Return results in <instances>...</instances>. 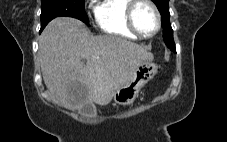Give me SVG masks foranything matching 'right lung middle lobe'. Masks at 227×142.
Here are the masks:
<instances>
[{
    "label": "right lung middle lobe",
    "mask_w": 227,
    "mask_h": 142,
    "mask_svg": "<svg viewBox=\"0 0 227 142\" xmlns=\"http://www.w3.org/2000/svg\"><path fill=\"white\" fill-rule=\"evenodd\" d=\"M84 5L85 0H41V30L52 19L60 16L77 18L88 24Z\"/></svg>",
    "instance_id": "obj_1"
}]
</instances>
